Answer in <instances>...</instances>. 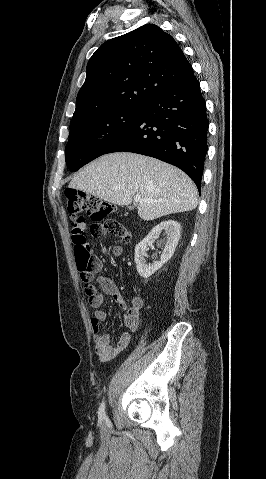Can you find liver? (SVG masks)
Returning a JSON list of instances; mask_svg holds the SVG:
<instances>
[{
	"label": "liver",
	"instance_id": "1",
	"mask_svg": "<svg viewBox=\"0 0 266 479\" xmlns=\"http://www.w3.org/2000/svg\"><path fill=\"white\" fill-rule=\"evenodd\" d=\"M69 188L121 206L140 195L150 200L137 207L139 217L146 221L191 211L198 205L197 188L183 171L158 159L129 152L97 158L71 180Z\"/></svg>",
	"mask_w": 266,
	"mask_h": 479
}]
</instances>
